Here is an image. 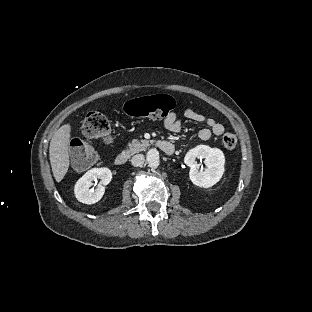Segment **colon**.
<instances>
[{"mask_svg": "<svg viewBox=\"0 0 312 312\" xmlns=\"http://www.w3.org/2000/svg\"><path fill=\"white\" fill-rule=\"evenodd\" d=\"M173 107V101L169 96L159 94L129 100L125 103L123 110L129 116L161 120L172 111ZM81 131L87 138L106 140L111 134V123L101 111L91 110L82 123ZM223 144L225 148L233 149L237 144L236 136L225 135ZM72 158L75 163H81L87 167L97 159V154L90 148L82 147L73 150Z\"/></svg>", "mask_w": 312, "mask_h": 312, "instance_id": "1", "label": "colon"}]
</instances>
